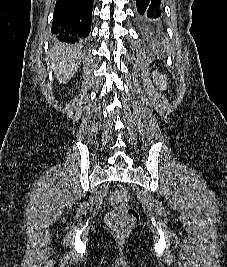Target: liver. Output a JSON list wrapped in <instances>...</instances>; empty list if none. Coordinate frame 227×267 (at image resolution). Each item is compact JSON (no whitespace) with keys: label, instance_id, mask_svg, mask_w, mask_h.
Instances as JSON below:
<instances>
[{"label":"liver","instance_id":"obj_1","mask_svg":"<svg viewBox=\"0 0 227 267\" xmlns=\"http://www.w3.org/2000/svg\"><path fill=\"white\" fill-rule=\"evenodd\" d=\"M52 65L59 83L66 84L76 73L80 66L79 50L74 47H56L51 53Z\"/></svg>","mask_w":227,"mask_h":267}]
</instances>
